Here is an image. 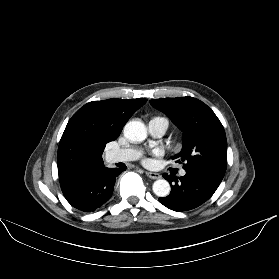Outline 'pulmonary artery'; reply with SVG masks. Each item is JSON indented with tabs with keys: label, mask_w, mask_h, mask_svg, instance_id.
I'll use <instances>...</instances> for the list:
<instances>
[{
	"label": "pulmonary artery",
	"mask_w": 279,
	"mask_h": 279,
	"mask_svg": "<svg viewBox=\"0 0 279 279\" xmlns=\"http://www.w3.org/2000/svg\"><path fill=\"white\" fill-rule=\"evenodd\" d=\"M168 127V122L162 119H152L149 122L148 128L151 135L161 137L165 134ZM138 150L133 148L116 149L108 153L107 159L110 163L133 161L139 157ZM180 175L184 176L185 171L182 170Z\"/></svg>",
	"instance_id": "pulmonary-artery-1"
}]
</instances>
